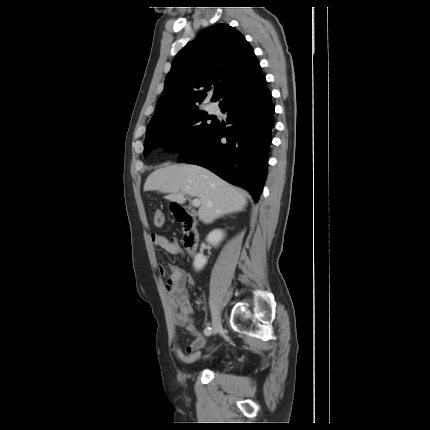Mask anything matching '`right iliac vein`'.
I'll return each mask as SVG.
<instances>
[{
  "mask_svg": "<svg viewBox=\"0 0 430 430\" xmlns=\"http://www.w3.org/2000/svg\"><path fill=\"white\" fill-rule=\"evenodd\" d=\"M212 329L214 333H217L222 329L221 317L217 312H212Z\"/></svg>",
  "mask_w": 430,
  "mask_h": 430,
  "instance_id": "obj_1",
  "label": "right iliac vein"
}]
</instances>
